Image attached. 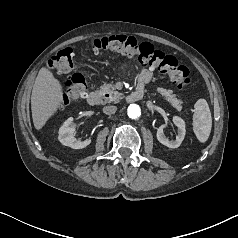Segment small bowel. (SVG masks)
I'll return each mask as SVG.
<instances>
[{
	"label": "small bowel",
	"mask_w": 238,
	"mask_h": 238,
	"mask_svg": "<svg viewBox=\"0 0 238 238\" xmlns=\"http://www.w3.org/2000/svg\"><path fill=\"white\" fill-rule=\"evenodd\" d=\"M154 77V71L153 68H145L143 69L139 76H138V86L137 87H144L145 84H148L149 82L152 81Z\"/></svg>",
	"instance_id": "small-bowel-1"
}]
</instances>
